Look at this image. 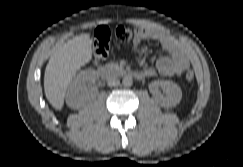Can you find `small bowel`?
<instances>
[{
  "instance_id": "c3829d8e",
  "label": "small bowel",
  "mask_w": 243,
  "mask_h": 167,
  "mask_svg": "<svg viewBox=\"0 0 243 167\" xmlns=\"http://www.w3.org/2000/svg\"><path fill=\"white\" fill-rule=\"evenodd\" d=\"M149 40L159 43L169 55L160 57L154 67L146 68L144 70L146 77L157 74L166 77L177 76L189 67V57L185 49L170 35L156 28L138 26L133 39V51L136 53L144 51L145 42Z\"/></svg>"
}]
</instances>
